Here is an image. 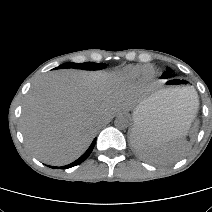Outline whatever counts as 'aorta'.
Returning a JSON list of instances; mask_svg holds the SVG:
<instances>
[{
  "instance_id": "1",
  "label": "aorta",
  "mask_w": 212,
  "mask_h": 212,
  "mask_svg": "<svg viewBox=\"0 0 212 212\" xmlns=\"http://www.w3.org/2000/svg\"><path fill=\"white\" fill-rule=\"evenodd\" d=\"M115 127L122 130L128 127V120L124 116H118L114 121Z\"/></svg>"
}]
</instances>
